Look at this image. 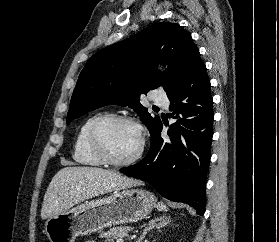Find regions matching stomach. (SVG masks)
Masks as SVG:
<instances>
[{"label": "stomach", "instance_id": "0dacf381", "mask_svg": "<svg viewBox=\"0 0 279 242\" xmlns=\"http://www.w3.org/2000/svg\"><path fill=\"white\" fill-rule=\"evenodd\" d=\"M156 202L155 196L143 189L114 191L50 217L45 223V233L50 242H74L78 236L106 227L137 222L151 213Z\"/></svg>", "mask_w": 279, "mask_h": 242}]
</instances>
